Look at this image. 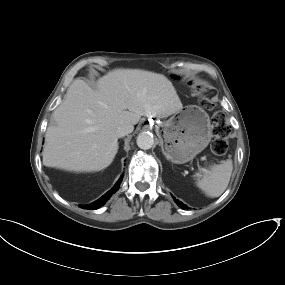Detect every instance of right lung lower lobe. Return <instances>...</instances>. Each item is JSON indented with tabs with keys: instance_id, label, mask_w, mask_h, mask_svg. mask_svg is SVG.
<instances>
[{
	"instance_id": "right-lung-lower-lobe-1",
	"label": "right lung lower lobe",
	"mask_w": 285,
	"mask_h": 285,
	"mask_svg": "<svg viewBox=\"0 0 285 285\" xmlns=\"http://www.w3.org/2000/svg\"><path fill=\"white\" fill-rule=\"evenodd\" d=\"M122 177L123 175L121 176V178L117 181V183L115 184V186L110 190L108 191L107 193H105L100 199L96 200L95 202L91 203V204H88V205H82L81 207L83 209H98L100 208L101 206H103L107 200L110 198V196L118 190L121 182H122Z\"/></svg>"
}]
</instances>
